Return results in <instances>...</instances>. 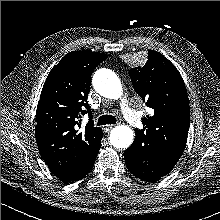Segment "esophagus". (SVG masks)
Here are the masks:
<instances>
[{"label":"esophagus","mask_w":220,"mask_h":220,"mask_svg":"<svg viewBox=\"0 0 220 220\" xmlns=\"http://www.w3.org/2000/svg\"><path fill=\"white\" fill-rule=\"evenodd\" d=\"M114 128V125H107L105 128H104V130H105V132H109L111 129H113Z\"/></svg>","instance_id":"obj_1"}]
</instances>
